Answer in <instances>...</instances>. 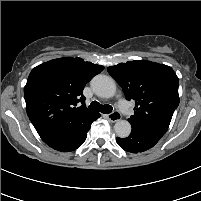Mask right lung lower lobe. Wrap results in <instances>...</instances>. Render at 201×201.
Listing matches in <instances>:
<instances>
[{"label": "right lung lower lobe", "instance_id": "right-lung-lower-lobe-1", "mask_svg": "<svg viewBox=\"0 0 201 201\" xmlns=\"http://www.w3.org/2000/svg\"><path fill=\"white\" fill-rule=\"evenodd\" d=\"M100 117L97 115L85 127L73 132L64 133H40L41 139L50 147L61 152H69L80 147L87 137L91 123Z\"/></svg>", "mask_w": 201, "mask_h": 201}]
</instances>
